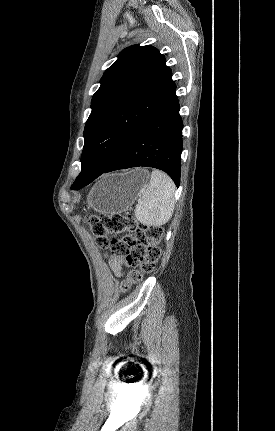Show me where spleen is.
<instances>
[{
	"mask_svg": "<svg viewBox=\"0 0 275 431\" xmlns=\"http://www.w3.org/2000/svg\"><path fill=\"white\" fill-rule=\"evenodd\" d=\"M175 184L164 172L154 170L142 197L135 207V217L148 226H162L173 215L175 207Z\"/></svg>",
	"mask_w": 275,
	"mask_h": 431,
	"instance_id": "1",
	"label": "spleen"
}]
</instances>
